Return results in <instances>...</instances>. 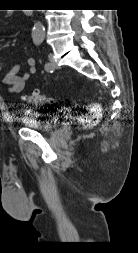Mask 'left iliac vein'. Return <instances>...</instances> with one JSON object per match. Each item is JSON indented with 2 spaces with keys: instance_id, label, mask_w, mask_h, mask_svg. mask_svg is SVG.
<instances>
[{
  "instance_id": "left-iliac-vein-1",
  "label": "left iliac vein",
  "mask_w": 138,
  "mask_h": 253,
  "mask_svg": "<svg viewBox=\"0 0 138 253\" xmlns=\"http://www.w3.org/2000/svg\"><path fill=\"white\" fill-rule=\"evenodd\" d=\"M48 59H49V64L51 66V70H55L57 68V64L54 61L53 55L49 54Z\"/></svg>"
}]
</instances>
